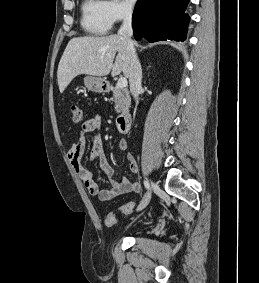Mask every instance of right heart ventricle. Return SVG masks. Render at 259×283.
Here are the masks:
<instances>
[{
	"instance_id": "1",
	"label": "right heart ventricle",
	"mask_w": 259,
	"mask_h": 283,
	"mask_svg": "<svg viewBox=\"0 0 259 283\" xmlns=\"http://www.w3.org/2000/svg\"><path fill=\"white\" fill-rule=\"evenodd\" d=\"M112 25L103 0H84L82 26L88 33L104 36L110 32Z\"/></svg>"
}]
</instances>
